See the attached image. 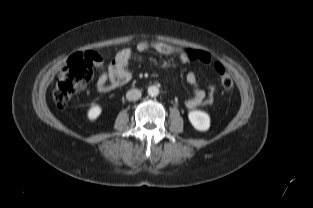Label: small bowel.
Listing matches in <instances>:
<instances>
[{
	"label": "small bowel",
	"mask_w": 313,
	"mask_h": 208,
	"mask_svg": "<svg viewBox=\"0 0 313 208\" xmlns=\"http://www.w3.org/2000/svg\"><path fill=\"white\" fill-rule=\"evenodd\" d=\"M136 49L139 52L153 49L159 54L166 56L178 54L181 63L185 64L190 62L188 51L176 48L171 44L161 41L143 40L137 44ZM132 57L133 52L130 48H124L119 51L108 63H105L98 55V58L94 61V67L98 72V78L96 81L97 91L100 93H108L126 84L131 78L129 64ZM186 80L194 88L193 96L185 102L186 106L188 108H195L202 105L206 99V93L199 88L196 74L192 71L188 72Z\"/></svg>",
	"instance_id": "c3829d8e"
}]
</instances>
